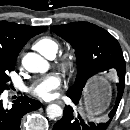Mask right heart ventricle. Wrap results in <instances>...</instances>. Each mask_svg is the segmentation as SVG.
Returning <instances> with one entry per match:
<instances>
[{
    "instance_id": "right-heart-ventricle-1",
    "label": "right heart ventricle",
    "mask_w": 130,
    "mask_h": 130,
    "mask_svg": "<svg viewBox=\"0 0 130 130\" xmlns=\"http://www.w3.org/2000/svg\"><path fill=\"white\" fill-rule=\"evenodd\" d=\"M34 48L45 57L55 56L58 49V41L51 36H44L34 42Z\"/></svg>"
}]
</instances>
